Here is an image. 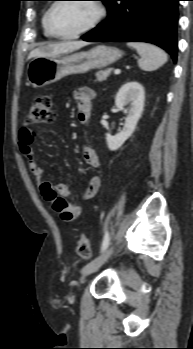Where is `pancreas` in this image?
<instances>
[{
  "instance_id": "pancreas-1",
  "label": "pancreas",
  "mask_w": 193,
  "mask_h": 349,
  "mask_svg": "<svg viewBox=\"0 0 193 349\" xmlns=\"http://www.w3.org/2000/svg\"><path fill=\"white\" fill-rule=\"evenodd\" d=\"M112 69L108 68L106 70L98 71L96 73V81L102 82L107 79V77L110 75Z\"/></svg>"
}]
</instances>
